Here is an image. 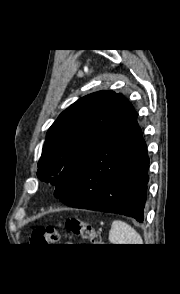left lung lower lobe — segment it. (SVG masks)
I'll list each match as a JSON object with an SVG mask.
<instances>
[{
    "label": "left lung lower lobe",
    "instance_id": "1",
    "mask_svg": "<svg viewBox=\"0 0 180 294\" xmlns=\"http://www.w3.org/2000/svg\"><path fill=\"white\" fill-rule=\"evenodd\" d=\"M146 143L132 105L91 157L73 190L71 207L119 213L142 222L148 183Z\"/></svg>",
    "mask_w": 180,
    "mask_h": 294
}]
</instances>
